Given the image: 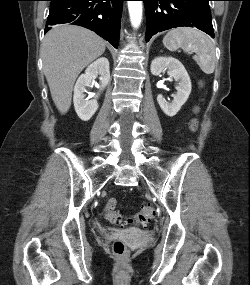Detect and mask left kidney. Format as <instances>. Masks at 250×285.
Segmentation results:
<instances>
[{"label":"left kidney","instance_id":"obj_1","mask_svg":"<svg viewBox=\"0 0 250 285\" xmlns=\"http://www.w3.org/2000/svg\"><path fill=\"white\" fill-rule=\"evenodd\" d=\"M167 71L168 75L174 78L178 85L173 101L168 102L160 94L157 97L158 104L162 111L169 117H173L187 101L191 93V80L183 64L173 57H156L151 63L152 75L158 76Z\"/></svg>","mask_w":250,"mask_h":285}]
</instances>
